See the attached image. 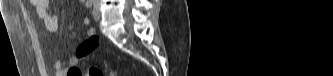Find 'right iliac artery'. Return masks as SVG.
I'll list each match as a JSON object with an SVG mask.
<instances>
[{
  "label": "right iliac artery",
  "instance_id": "obj_1",
  "mask_svg": "<svg viewBox=\"0 0 333 76\" xmlns=\"http://www.w3.org/2000/svg\"><path fill=\"white\" fill-rule=\"evenodd\" d=\"M93 0H88L87 2H86V6L87 7H91L92 5H93Z\"/></svg>",
  "mask_w": 333,
  "mask_h": 76
}]
</instances>
